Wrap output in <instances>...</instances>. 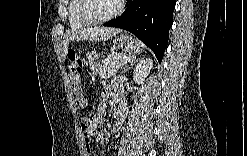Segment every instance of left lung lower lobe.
Segmentation results:
<instances>
[{"label": "left lung lower lobe", "instance_id": "1", "mask_svg": "<svg viewBox=\"0 0 247 156\" xmlns=\"http://www.w3.org/2000/svg\"><path fill=\"white\" fill-rule=\"evenodd\" d=\"M174 8L175 0H127L124 13L103 25L133 33L153 50L161 62L168 44Z\"/></svg>", "mask_w": 247, "mask_h": 156}]
</instances>
